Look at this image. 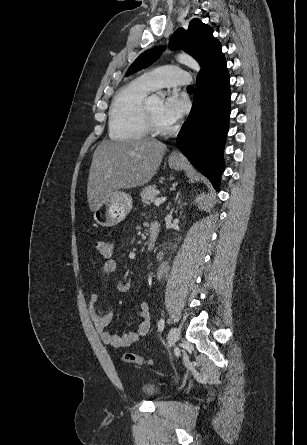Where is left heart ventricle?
Instances as JSON below:
<instances>
[{
  "mask_svg": "<svg viewBox=\"0 0 307 445\" xmlns=\"http://www.w3.org/2000/svg\"><path fill=\"white\" fill-rule=\"evenodd\" d=\"M163 98L159 96H154L150 99V108L151 112L156 120V122L162 126V127H170L171 125L167 124L161 115L162 112V105H163Z\"/></svg>",
  "mask_w": 307,
  "mask_h": 445,
  "instance_id": "1",
  "label": "left heart ventricle"
}]
</instances>
